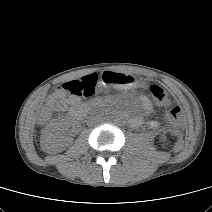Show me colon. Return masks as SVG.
<instances>
[{
    "label": "colon",
    "instance_id": "1",
    "mask_svg": "<svg viewBox=\"0 0 212 212\" xmlns=\"http://www.w3.org/2000/svg\"><path fill=\"white\" fill-rule=\"evenodd\" d=\"M99 74L93 73L85 75L79 79L71 80L63 83L57 89V95L62 96L65 94L74 97H92L96 94L97 88L101 83L99 81ZM149 90L155 102L161 106L168 108V118L174 123L178 124L182 117V110L179 106H174L166 91L158 85L152 84ZM55 104H47L38 115V120L41 123L46 122Z\"/></svg>",
    "mask_w": 212,
    "mask_h": 212
}]
</instances>
